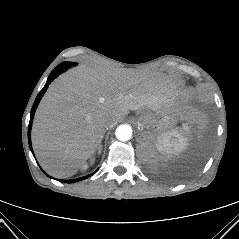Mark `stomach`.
<instances>
[{
    "instance_id": "stomach-1",
    "label": "stomach",
    "mask_w": 239,
    "mask_h": 239,
    "mask_svg": "<svg viewBox=\"0 0 239 239\" xmlns=\"http://www.w3.org/2000/svg\"><path fill=\"white\" fill-rule=\"evenodd\" d=\"M179 120V112L176 110H162L155 113L153 123L149 127L153 136L168 132Z\"/></svg>"
}]
</instances>
